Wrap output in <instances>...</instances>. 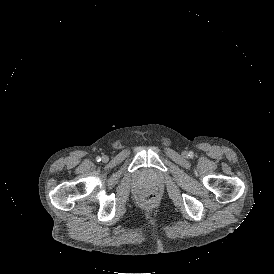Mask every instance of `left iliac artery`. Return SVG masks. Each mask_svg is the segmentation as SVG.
I'll list each match as a JSON object with an SVG mask.
<instances>
[{"mask_svg":"<svg viewBox=\"0 0 274 274\" xmlns=\"http://www.w3.org/2000/svg\"><path fill=\"white\" fill-rule=\"evenodd\" d=\"M188 156H190L192 158L194 156V153L192 151H190Z\"/></svg>","mask_w":274,"mask_h":274,"instance_id":"44dca946","label":"left iliac artery"}]
</instances>
